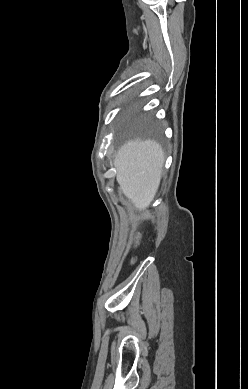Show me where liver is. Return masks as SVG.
<instances>
[{
  "instance_id": "obj_1",
  "label": "liver",
  "mask_w": 248,
  "mask_h": 389,
  "mask_svg": "<svg viewBox=\"0 0 248 389\" xmlns=\"http://www.w3.org/2000/svg\"><path fill=\"white\" fill-rule=\"evenodd\" d=\"M164 165V152L152 140L134 139L117 152L114 166L122 193L136 210L144 211L158 190Z\"/></svg>"
}]
</instances>
